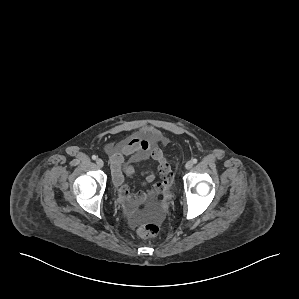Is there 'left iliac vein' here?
Instances as JSON below:
<instances>
[{
	"label": "left iliac vein",
	"instance_id": "left-iliac-vein-1",
	"mask_svg": "<svg viewBox=\"0 0 299 299\" xmlns=\"http://www.w3.org/2000/svg\"><path fill=\"white\" fill-rule=\"evenodd\" d=\"M193 167V162L192 161H187V163L185 164V168L187 170H190Z\"/></svg>",
	"mask_w": 299,
	"mask_h": 299
}]
</instances>
